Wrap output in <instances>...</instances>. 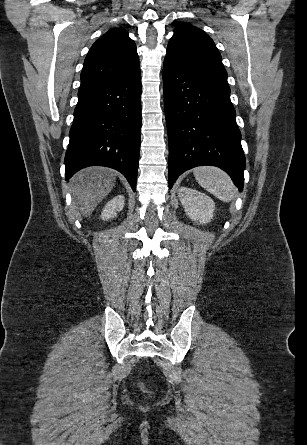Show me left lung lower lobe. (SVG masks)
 Wrapping results in <instances>:
<instances>
[{"label":"left lung lower lobe","mask_w":307,"mask_h":445,"mask_svg":"<svg viewBox=\"0 0 307 445\" xmlns=\"http://www.w3.org/2000/svg\"><path fill=\"white\" fill-rule=\"evenodd\" d=\"M164 106L169 137V187L201 165L225 170L240 191L245 157L230 92L210 86L164 60Z\"/></svg>","instance_id":"obj_1"}]
</instances>
